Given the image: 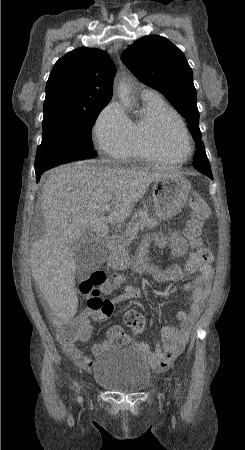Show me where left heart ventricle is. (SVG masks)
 I'll return each mask as SVG.
<instances>
[{
  "label": "left heart ventricle",
  "instance_id": "1",
  "mask_svg": "<svg viewBox=\"0 0 245 450\" xmlns=\"http://www.w3.org/2000/svg\"><path fill=\"white\" fill-rule=\"evenodd\" d=\"M158 131L162 144L170 152L177 156L185 155L188 152L185 137L173 121H167L158 128Z\"/></svg>",
  "mask_w": 245,
  "mask_h": 450
}]
</instances>
